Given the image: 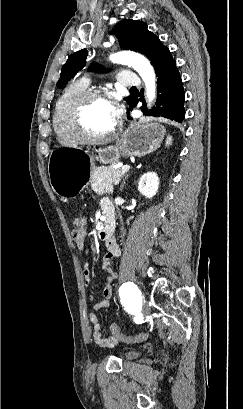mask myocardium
<instances>
[{"label": "myocardium", "mask_w": 243, "mask_h": 409, "mask_svg": "<svg viewBox=\"0 0 243 409\" xmlns=\"http://www.w3.org/2000/svg\"><path fill=\"white\" fill-rule=\"evenodd\" d=\"M94 100L108 102L114 108L115 112H117L114 98L107 91L86 89L76 94L68 103L66 110V121L73 134L83 142L96 143L105 141L114 135L117 130L118 125L115 123L111 130L103 134L92 135L86 131L82 122V112L87 103Z\"/></svg>", "instance_id": "f54148a6"}]
</instances>
